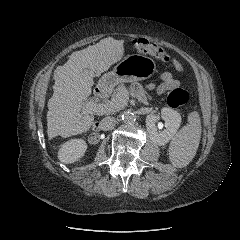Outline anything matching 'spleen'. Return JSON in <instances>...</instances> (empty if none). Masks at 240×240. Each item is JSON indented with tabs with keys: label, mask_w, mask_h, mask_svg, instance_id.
Here are the masks:
<instances>
[{
	"label": "spleen",
	"mask_w": 240,
	"mask_h": 240,
	"mask_svg": "<svg viewBox=\"0 0 240 240\" xmlns=\"http://www.w3.org/2000/svg\"><path fill=\"white\" fill-rule=\"evenodd\" d=\"M201 131L198 112L189 113L188 124L170 142L169 159L175 167H186L192 161L200 143Z\"/></svg>",
	"instance_id": "obj_1"
}]
</instances>
